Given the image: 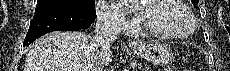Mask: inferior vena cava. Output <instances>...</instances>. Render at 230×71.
<instances>
[{
	"mask_svg": "<svg viewBox=\"0 0 230 71\" xmlns=\"http://www.w3.org/2000/svg\"><path fill=\"white\" fill-rule=\"evenodd\" d=\"M121 32V27L109 14L100 12L97 16L95 35L92 38L91 44L96 54L110 49V45L117 39ZM91 71H103L102 63L96 62V66Z\"/></svg>",
	"mask_w": 230,
	"mask_h": 71,
	"instance_id": "obj_1",
	"label": "inferior vena cava"
}]
</instances>
